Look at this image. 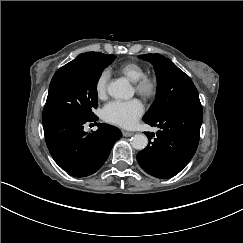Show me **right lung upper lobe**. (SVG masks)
<instances>
[{
  "label": "right lung upper lobe",
  "instance_id": "right-lung-upper-lobe-1",
  "mask_svg": "<svg viewBox=\"0 0 243 243\" xmlns=\"http://www.w3.org/2000/svg\"><path fill=\"white\" fill-rule=\"evenodd\" d=\"M103 56H104V54L99 53V52H87V53L78 55L73 61L67 63L66 65H73V64H79V63H91Z\"/></svg>",
  "mask_w": 243,
  "mask_h": 243
}]
</instances>
